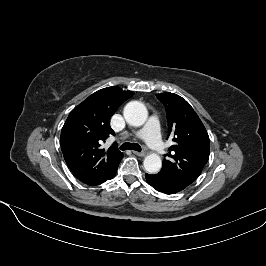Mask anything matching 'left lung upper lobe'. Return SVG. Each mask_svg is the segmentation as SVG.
<instances>
[{
	"label": "left lung upper lobe",
	"mask_w": 266,
	"mask_h": 266,
	"mask_svg": "<svg viewBox=\"0 0 266 266\" xmlns=\"http://www.w3.org/2000/svg\"><path fill=\"white\" fill-rule=\"evenodd\" d=\"M164 104L169 133L174 142L163 160L159 174L172 182L187 187L201 174L209 159L208 133L191 105L174 93L156 95Z\"/></svg>",
	"instance_id": "left-lung-upper-lobe-1"
}]
</instances>
